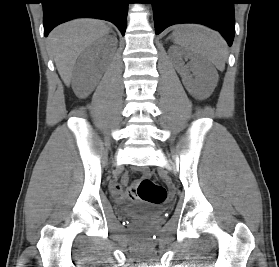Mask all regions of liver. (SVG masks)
I'll return each instance as SVG.
<instances>
[{"mask_svg":"<svg viewBox=\"0 0 279 267\" xmlns=\"http://www.w3.org/2000/svg\"><path fill=\"white\" fill-rule=\"evenodd\" d=\"M109 31L104 21L88 18L69 21L51 31L47 41L66 85L71 82L73 68L81 52Z\"/></svg>","mask_w":279,"mask_h":267,"instance_id":"liver-1","label":"liver"}]
</instances>
